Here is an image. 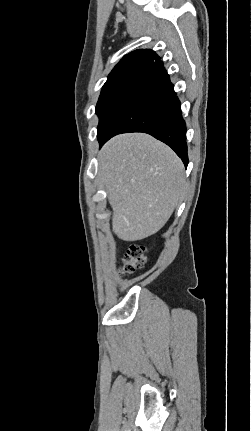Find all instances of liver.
<instances>
[{
    "label": "liver",
    "instance_id": "1",
    "mask_svg": "<svg viewBox=\"0 0 251 431\" xmlns=\"http://www.w3.org/2000/svg\"><path fill=\"white\" fill-rule=\"evenodd\" d=\"M98 159V177L113 210V232L124 241L157 233L185 188L179 157L150 135L127 133L110 139Z\"/></svg>",
    "mask_w": 251,
    "mask_h": 431
}]
</instances>
